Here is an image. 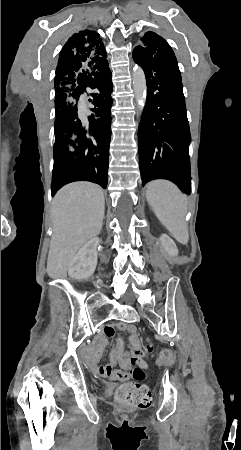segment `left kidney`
<instances>
[{"label":"left kidney","mask_w":241,"mask_h":450,"mask_svg":"<svg viewBox=\"0 0 241 450\" xmlns=\"http://www.w3.org/2000/svg\"><path fill=\"white\" fill-rule=\"evenodd\" d=\"M160 242L168 256H177L178 248L175 242H173L167 234H162V236H160Z\"/></svg>","instance_id":"left-kidney-1"}]
</instances>
